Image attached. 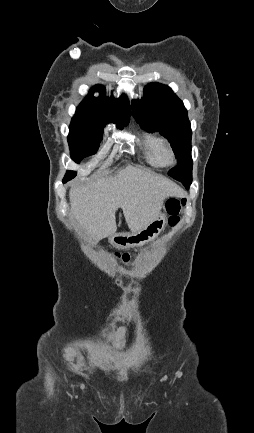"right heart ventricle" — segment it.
<instances>
[{"mask_svg": "<svg viewBox=\"0 0 254 433\" xmlns=\"http://www.w3.org/2000/svg\"><path fill=\"white\" fill-rule=\"evenodd\" d=\"M145 161L153 167H164L163 150L166 146L164 140L154 134L144 132L140 136Z\"/></svg>", "mask_w": 254, "mask_h": 433, "instance_id": "right-heart-ventricle-1", "label": "right heart ventricle"}]
</instances>
